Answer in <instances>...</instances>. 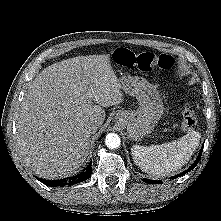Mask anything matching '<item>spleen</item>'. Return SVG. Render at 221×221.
Segmentation results:
<instances>
[{"mask_svg":"<svg viewBox=\"0 0 221 221\" xmlns=\"http://www.w3.org/2000/svg\"><path fill=\"white\" fill-rule=\"evenodd\" d=\"M200 133L191 131L185 136L161 145L131 148L134 163L153 176H168L181 169L199 145Z\"/></svg>","mask_w":221,"mask_h":221,"instance_id":"obj_1","label":"spleen"}]
</instances>
